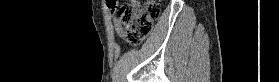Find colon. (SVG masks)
<instances>
[{
	"mask_svg": "<svg viewBox=\"0 0 279 82\" xmlns=\"http://www.w3.org/2000/svg\"><path fill=\"white\" fill-rule=\"evenodd\" d=\"M116 17L125 30L128 43L138 45L152 32L154 21L160 16L155 0H124Z\"/></svg>",
	"mask_w": 279,
	"mask_h": 82,
	"instance_id": "colon-1",
	"label": "colon"
}]
</instances>
